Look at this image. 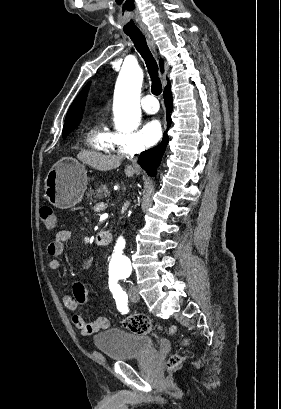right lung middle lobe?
<instances>
[{
  "label": "right lung middle lobe",
  "mask_w": 281,
  "mask_h": 409,
  "mask_svg": "<svg viewBox=\"0 0 281 409\" xmlns=\"http://www.w3.org/2000/svg\"><path fill=\"white\" fill-rule=\"evenodd\" d=\"M77 127V125H69V126H64L63 128V138H66V136L75 128Z\"/></svg>",
  "instance_id": "obj_1"
}]
</instances>
